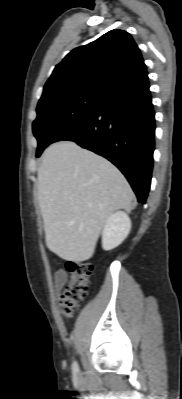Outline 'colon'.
<instances>
[{"instance_id": "colon-1", "label": "colon", "mask_w": 182, "mask_h": 399, "mask_svg": "<svg viewBox=\"0 0 182 399\" xmlns=\"http://www.w3.org/2000/svg\"><path fill=\"white\" fill-rule=\"evenodd\" d=\"M67 270L70 280L62 294L59 309L60 314L68 319L73 317L79 304L87 296L92 266L88 261H69Z\"/></svg>"}]
</instances>
